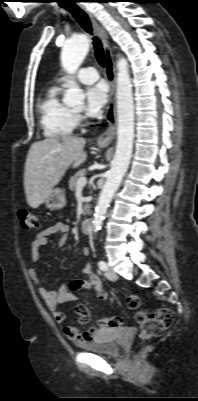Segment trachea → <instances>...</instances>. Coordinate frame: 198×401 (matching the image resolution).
Listing matches in <instances>:
<instances>
[{"label": "trachea", "instance_id": "obj_1", "mask_svg": "<svg viewBox=\"0 0 198 401\" xmlns=\"http://www.w3.org/2000/svg\"><path fill=\"white\" fill-rule=\"evenodd\" d=\"M74 2H75V0H68L66 3H64L62 5V7H64L66 10H68L73 15V17L77 20V22L80 24V26L86 32L92 34L91 22L87 16V14L80 7H78ZM93 45H94V50H95V57H96L98 63L102 67H105L107 65V59H106L105 53L103 51L102 44L96 36L93 37Z\"/></svg>", "mask_w": 198, "mask_h": 401}]
</instances>
